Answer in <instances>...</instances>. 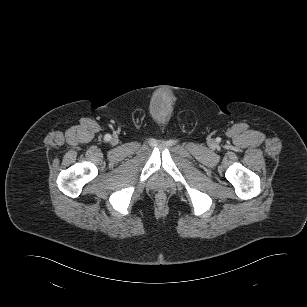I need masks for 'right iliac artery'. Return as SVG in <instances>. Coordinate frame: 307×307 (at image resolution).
<instances>
[{"label":"right iliac artery","instance_id":"1","mask_svg":"<svg viewBox=\"0 0 307 307\" xmlns=\"http://www.w3.org/2000/svg\"><path fill=\"white\" fill-rule=\"evenodd\" d=\"M109 138H110V136L108 135V136H107V139H109Z\"/></svg>","mask_w":307,"mask_h":307}]
</instances>
